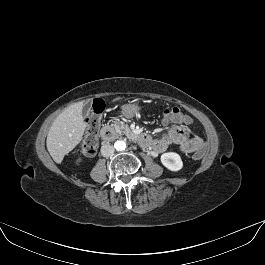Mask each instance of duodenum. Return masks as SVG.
I'll return each mask as SVG.
<instances>
[{"mask_svg":"<svg viewBox=\"0 0 265 265\" xmlns=\"http://www.w3.org/2000/svg\"><path fill=\"white\" fill-rule=\"evenodd\" d=\"M100 135H101L102 140L109 141L116 135V132L114 129L110 127H103L101 129ZM131 138L144 147H148L151 145V138L146 133L132 134Z\"/></svg>","mask_w":265,"mask_h":265,"instance_id":"obj_1","label":"duodenum"}]
</instances>
